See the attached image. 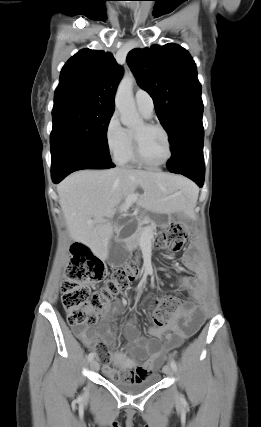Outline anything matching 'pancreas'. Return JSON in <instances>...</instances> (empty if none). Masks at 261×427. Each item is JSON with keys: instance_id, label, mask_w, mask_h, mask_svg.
I'll list each match as a JSON object with an SVG mask.
<instances>
[{"instance_id": "1", "label": "pancreas", "mask_w": 261, "mask_h": 427, "mask_svg": "<svg viewBox=\"0 0 261 427\" xmlns=\"http://www.w3.org/2000/svg\"><path fill=\"white\" fill-rule=\"evenodd\" d=\"M149 223H150V219L148 217H145L139 221L138 228H137L136 233H135V239L136 240L140 239L141 235L144 233V231L146 229H149L151 234H153V230H155V228H156V225L154 223L150 224L147 227H143V225L149 224Z\"/></svg>"}]
</instances>
